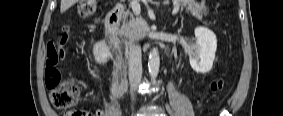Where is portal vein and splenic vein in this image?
<instances>
[{
    "label": "portal vein and splenic vein",
    "instance_id": "18ae733b",
    "mask_svg": "<svg viewBox=\"0 0 283 116\" xmlns=\"http://www.w3.org/2000/svg\"><path fill=\"white\" fill-rule=\"evenodd\" d=\"M131 7H132V10H133L134 14H135L136 16H139V15H140V12H141V8H140V5L137 3V1L132 0V1H131ZM179 8H180V5L177 4V5L173 8L172 14H173V15L177 14V12L179 11Z\"/></svg>",
    "mask_w": 283,
    "mask_h": 116
}]
</instances>
